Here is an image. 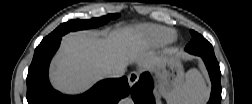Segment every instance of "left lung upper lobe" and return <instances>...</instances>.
<instances>
[{
    "label": "left lung upper lobe",
    "instance_id": "5c2ea615",
    "mask_svg": "<svg viewBox=\"0 0 252 104\" xmlns=\"http://www.w3.org/2000/svg\"><path fill=\"white\" fill-rule=\"evenodd\" d=\"M190 32L192 39L186 46V51L193 55L214 57L212 45L199 33L193 30H190Z\"/></svg>",
    "mask_w": 252,
    "mask_h": 104
}]
</instances>
